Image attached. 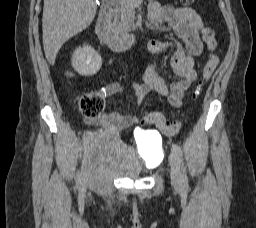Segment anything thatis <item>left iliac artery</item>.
<instances>
[{"mask_svg":"<svg viewBox=\"0 0 256 228\" xmlns=\"http://www.w3.org/2000/svg\"><path fill=\"white\" fill-rule=\"evenodd\" d=\"M172 150L177 154V156L180 158V160L182 162L181 178H182L183 186L186 187L188 185V178H187L186 168L184 166L183 159H182V157H183L182 150H181L180 146L178 144H175V143L172 144Z\"/></svg>","mask_w":256,"mask_h":228,"instance_id":"1","label":"left iliac artery"}]
</instances>
